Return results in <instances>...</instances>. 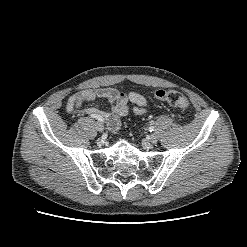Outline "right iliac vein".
I'll use <instances>...</instances> for the list:
<instances>
[{
    "instance_id": "63e3f726",
    "label": "right iliac vein",
    "mask_w": 247,
    "mask_h": 247,
    "mask_svg": "<svg viewBox=\"0 0 247 247\" xmlns=\"http://www.w3.org/2000/svg\"><path fill=\"white\" fill-rule=\"evenodd\" d=\"M95 126H96L97 131H99V132H103V130H104V126H103V124H102V123H100V122H96V123H95Z\"/></svg>"
}]
</instances>
